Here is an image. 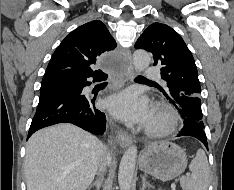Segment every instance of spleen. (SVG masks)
<instances>
[{
	"label": "spleen",
	"mask_w": 234,
	"mask_h": 190,
	"mask_svg": "<svg viewBox=\"0 0 234 190\" xmlns=\"http://www.w3.org/2000/svg\"><path fill=\"white\" fill-rule=\"evenodd\" d=\"M190 175L180 178L183 190H208L210 184V168L205 152L198 149L195 158L189 165Z\"/></svg>",
	"instance_id": "3e777b00"
}]
</instances>
